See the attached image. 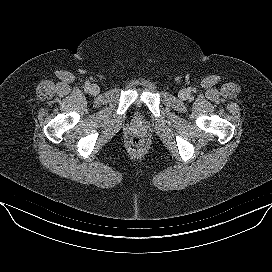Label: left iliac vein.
<instances>
[{"label": "left iliac vein", "mask_w": 272, "mask_h": 272, "mask_svg": "<svg viewBox=\"0 0 272 272\" xmlns=\"http://www.w3.org/2000/svg\"><path fill=\"white\" fill-rule=\"evenodd\" d=\"M187 96H188V93H187L186 90H181V91L179 92V97H180L181 99H186Z\"/></svg>", "instance_id": "1"}]
</instances>
